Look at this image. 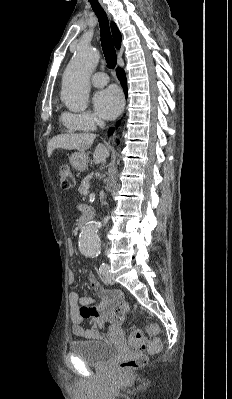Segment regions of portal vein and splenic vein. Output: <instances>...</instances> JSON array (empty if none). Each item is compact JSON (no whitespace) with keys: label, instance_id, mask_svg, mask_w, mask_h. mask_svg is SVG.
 Here are the masks:
<instances>
[{"label":"portal vein and splenic vein","instance_id":"1","mask_svg":"<svg viewBox=\"0 0 232 399\" xmlns=\"http://www.w3.org/2000/svg\"><path fill=\"white\" fill-rule=\"evenodd\" d=\"M87 194H89L88 190H86V192H84L83 196H87Z\"/></svg>","mask_w":232,"mask_h":399}]
</instances>
